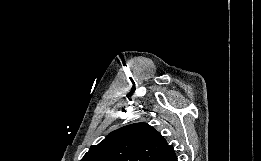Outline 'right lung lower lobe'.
<instances>
[{
    "label": "right lung lower lobe",
    "instance_id": "right-lung-lower-lobe-1",
    "mask_svg": "<svg viewBox=\"0 0 261 161\" xmlns=\"http://www.w3.org/2000/svg\"><path fill=\"white\" fill-rule=\"evenodd\" d=\"M164 161H177V157H176V155L174 154L173 156L167 158V159L164 160Z\"/></svg>",
    "mask_w": 261,
    "mask_h": 161
}]
</instances>
